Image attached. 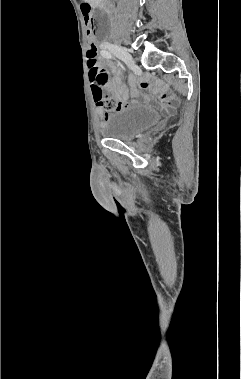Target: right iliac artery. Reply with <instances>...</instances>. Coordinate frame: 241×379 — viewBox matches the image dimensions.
<instances>
[{
	"label": "right iliac artery",
	"instance_id": "right-iliac-artery-1",
	"mask_svg": "<svg viewBox=\"0 0 241 379\" xmlns=\"http://www.w3.org/2000/svg\"><path fill=\"white\" fill-rule=\"evenodd\" d=\"M101 55L103 56V57H105V58H113L114 59V56L110 53V52H108L107 50H102L101 51Z\"/></svg>",
	"mask_w": 241,
	"mask_h": 379
}]
</instances>
